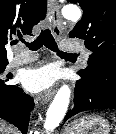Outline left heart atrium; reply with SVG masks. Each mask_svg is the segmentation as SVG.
<instances>
[{"label":"left heart atrium","instance_id":"obj_1","mask_svg":"<svg viewBox=\"0 0 116 134\" xmlns=\"http://www.w3.org/2000/svg\"><path fill=\"white\" fill-rule=\"evenodd\" d=\"M57 79V72L50 66L28 70L23 77V85L32 93L49 89Z\"/></svg>","mask_w":116,"mask_h":134}]
</instances>
